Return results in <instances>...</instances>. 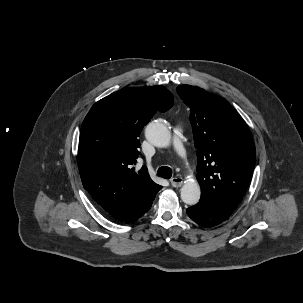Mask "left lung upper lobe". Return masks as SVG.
<instances>
[{"label":"left lung upper lobe","instance_id":"5c2ea615","mask_svg":"<svg viewBox=\"0 0 303 303\" xmlns=\"http://www.w3.org/2000/svg\"><path fill=\"white\" fill-rule=\"evenodd\" d=\"M177 92L191 110L201 200L232 214L243 199L255 165L250 131L224 98L191 85H180Z\"/></svg>","mask_w":303,"mask_h":303}]
</instances>
